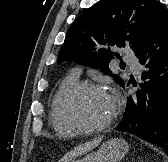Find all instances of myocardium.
Instances as JSON below:
<instances>
[{"label": "myocardium", "instance_id": "1", "mask_svg": "<svg viewBox=\"0 0 168 162\" xmlns=\"http://www.w3.org/2000/svg\"><path fill=\"white\" fill-rule=\"evenodd\" d=\"M83 91H97L107 94L106 90L97 84L90 82H80L76 83L72 87H70L62 96L59 103V113L61 118L66 122L69 126L75 128L79 132L85 133H93V132H101L105 131L111 127L113 122L117 116V107L113 102V111L110 117L102 124L98 125H87L79 120L75 115H73L70 111V103L71 100ZM108 95V94H107Z\"/></svg>", "mask_w": 168, "mask_h": 162}]
</instances>
